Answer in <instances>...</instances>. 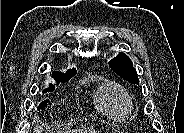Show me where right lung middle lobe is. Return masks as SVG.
<instances>
[{
    "label": "right lung middle lobe",
    "instance_id": "right-lung-middle-lobe-1",
    "mask_svg": "<svg viewBox=\"0 0 184 133\" xmlns=\"http://www.w3.org/2000/svg\"><path fill=\"white\" fill-rule=\"evenodd\" d=\"M68 81V80H67ZM67 81H64V82H67ZM64 82H60V83H64ZM55 89V87L51 84V85H49V88H47V89H45L44 91H43V93H46V92H48V91H53ZM47 102H48V100H45V101H43V102H41V104L38 106V108L37 109H40V108H42V107H44L45 105H47Z\"/></svg>",
    "mask_w": 184,
    "mask_h": 133
}]
</instances>
